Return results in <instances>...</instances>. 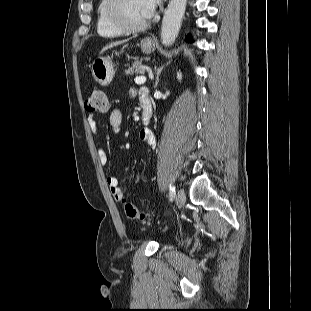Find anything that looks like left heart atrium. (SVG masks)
Listing matches in <instances>:
<instances>
[{"mask_svg":"<svg viewBox=\"0 0 311 311\" xmlns=\"http://www.w3.org/2000/svg\"><path fill=\"white\" fill-rule=\"evenodd\" d=\"M144 11L148 18L153 16L161 0H141Z\"/></svg>","mask_w":311,"mask_h":311,"instance_id":"1","label":"left heart atrium"}]
</instances>
